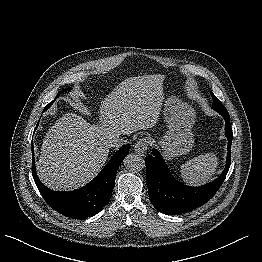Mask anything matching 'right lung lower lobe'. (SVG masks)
I'll return each mask as SVG.
<instances>
[{
	"mask_svg": "<svg viewBox=\"0 0 262 262\" xmlns=\"http://www.w3.org/2000/svg\"><path fill=\"white\" fill-rule=\"evenodd\" d=\"M51 104L49 103L44 111ZM31 148L32 175L44 200L58 213L73 219H81L96 215L109 202L117 170L128 155L130 145H123L119 151H116L104 169L90 183L70 192L53 191L42 184L35 170L33 144Z\"/></svg>",
	"mask_w": 262,
	"mask_h": 262,
	"instance_id": "right-lung-lower-lobe-1",
	"label": "right lung lower lobe"
}]
</instances>
